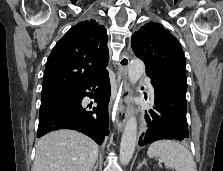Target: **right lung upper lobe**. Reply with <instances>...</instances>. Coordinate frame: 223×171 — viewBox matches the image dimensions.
I'll return each instance as SVG.
<instances>
[{"label":"right lung upper lobe","instance_id":"obj_1","mask_svg":"<svg viewBox=\"0 0 223 171\" xmlns=\"http://www.w3.org/2000/svg\"><path fill=\"white\" fill-rule=\"evenodd\" d=\"M107 41L105 27L93 19L71 27L47 60L41 96L81 87L104 73Z\"/></svg>","mask_w":223,"mask_h":171}]
</instances>
